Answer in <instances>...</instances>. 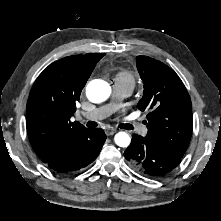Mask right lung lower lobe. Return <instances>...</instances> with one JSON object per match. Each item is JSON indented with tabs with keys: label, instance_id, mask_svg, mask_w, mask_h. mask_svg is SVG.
Instances as JSON below:
<instances>
[{
	"label": "right lung lower lobe",
	"instance_id": "obj_1",
	"mask_svg": "<svg viewBox=\"0 0 221 221\" xmlns=\"http://www.w3.org/2000/svg\"><path fill=\"white\" fill-rule=\"evenodd\" d=\"M105 140L106 135L101 128L89 129L46 166L57 174L76 173L97 158Z\"/></svg>",
	"mask_w": 221,
	"mask_h": 221
}]
</instances>
